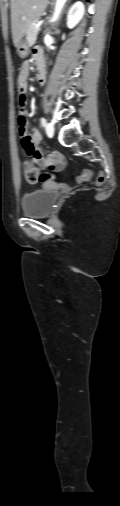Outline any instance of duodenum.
<instances>
[{
  "mask_svg": "<svg viewBox=\"0 0 120 506\" xmlns=\"http://www.w3.org/2000/svg\"><path fill=\"white\" fill-rule=\"evenodd\" d=\"M35 61H36V64L40 67V72H39L38 76H39V78H43L45 76L44 69H43V61H44L43 55L38 54L35 58Z\"/></svg>",
  "mask_w": 120,
  "mask_h": 506,
  "instance_id": "1",
  "label": "duodenum"
}]
</instances>
